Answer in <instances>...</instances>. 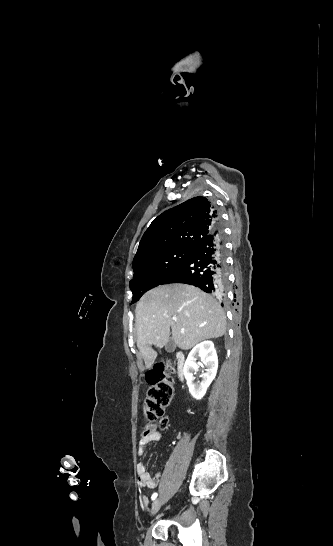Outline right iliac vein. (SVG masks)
<instances>
[{
	"mask_svg": "<svg viewBox=\"0 0 333 546\" xmlns=\"http://www.w3.org/2000/svg\"><path fill=\"white\" fill-rule=\"evenodd\" d=\"M161 504H162V498H157V499L153 502V504H152V508H151L150 514H151V515L156 514V512L159 510Z\"/></svg>",
	"mask_w": 333,
	"mask_h": 546,
	"instance_id": "1",
	"label": "right iliac vein"
}]
</instances>
